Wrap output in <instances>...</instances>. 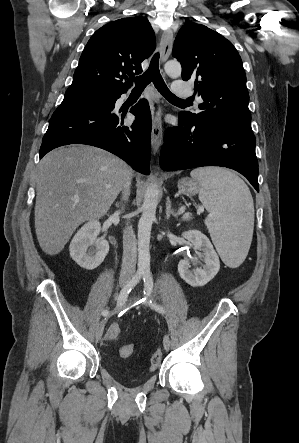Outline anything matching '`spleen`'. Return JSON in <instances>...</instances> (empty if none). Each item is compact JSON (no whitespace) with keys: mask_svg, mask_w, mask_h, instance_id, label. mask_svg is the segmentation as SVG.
Returning <instances> with one entry per match:
<instances>
[{"mask_svg":"<svg viewBox=\"0 0 299 443\" xmlns=\"http://www.w3.org/2000/svg\"><path fill=\"white\" fill-rule=\"evenodd\" d=\"M199 199L210 216L205 224L223 262L236 268L245 260L254 228L251 193L235 173L218 167L194 169Z\"/></svg>","mask_w":299,"mask_h":443,"instance_id":"1","label":"spleen"}]
</instances>
